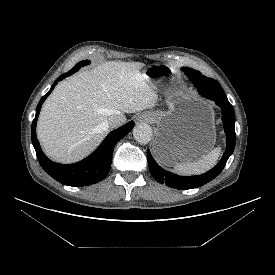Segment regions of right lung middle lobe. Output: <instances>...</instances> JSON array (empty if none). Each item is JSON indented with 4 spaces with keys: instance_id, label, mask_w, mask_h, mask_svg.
Wrapping results in <instances>:
<instances>
[{
    "instance_id": "dd1d6c3e",
    "label": "right lung middle lobe",
    "mask_w": 275,
    "mask_h": 275,
    "mask_svg": "<svg viewBox=\"0 0 275 275\" xmlns=\"http://www.w3.org/2000/svg\"><path fill=\"white\" fill-rule=\"evenodd\" d=\"M90 62L87 60V61H81V62H78L71 70L70 72L72 71H77L80 67L82 66H85L87 64H89Z\"/></svg>"
}]
</instances>
